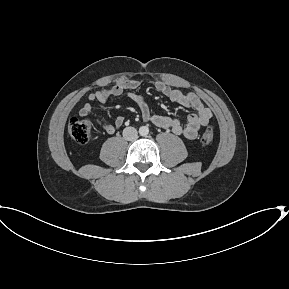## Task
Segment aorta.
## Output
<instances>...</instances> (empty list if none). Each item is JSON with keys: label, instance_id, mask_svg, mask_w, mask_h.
Segmentation results:
<instances>
[{"label": "aorta", "instance_id": "obj_1", "mask_svg": "<svg viewBox=\"0 0 289 289\" xmlns=\"http://www.w3.org/2000/svg\"><path fill=\"white\" fill-rule=\"evenodd\" d=\"M148 133H149V128H148L147 126H141V127L139 128V134H140L141 136H147Z\"/></svg>", "mask_w": 289, "mask_h": 289}]
</instances>
